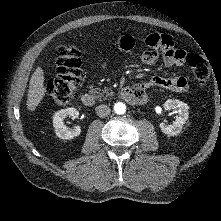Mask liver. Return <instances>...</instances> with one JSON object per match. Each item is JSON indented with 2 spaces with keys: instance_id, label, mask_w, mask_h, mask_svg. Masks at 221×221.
I'll return each instance as SVG.
<instances>
[{
  "instance_id": "obj_1",
  "label": "liver",
  "mask_w": 221,
  "mask_h": 221,
  "mask_svg": "<svg viewBox=\"0 0 221 221\" xmlns=\"http://www.w3.org/2000/svg\"><path fill=\"white\" fill-rule=\"evenodd\" d=\"M44 72L41 67H37L31 76L29 83L27 109L33 111L39 105L45 95Z\"/></svg>"
}]
</instances>
